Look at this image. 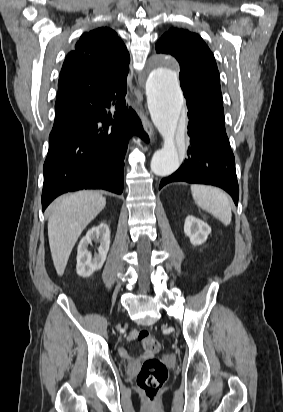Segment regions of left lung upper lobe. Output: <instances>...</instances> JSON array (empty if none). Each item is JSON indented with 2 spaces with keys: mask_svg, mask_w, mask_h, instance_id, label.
Wrapping results in <instances>:
<instances>
[{
  "mask_svg": "<svg viewBox=\"0 0 283 412\" xmlns=\"http://www.w3.org/2000/svg\"><path fill=\"white\" fill-rule=\"evenodd\" d=\"M156 52L174 56L180 64V85L187 103L209 115L224 117L220 77L214 56L202 38L174 28L156 44Z\"/></svg>",
  "mask_w": 283,
  "mask_h": 412,
  "instance_id": "1",
  "label": "left lung upper lobe"
}]
</instances>
